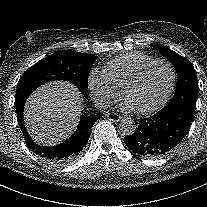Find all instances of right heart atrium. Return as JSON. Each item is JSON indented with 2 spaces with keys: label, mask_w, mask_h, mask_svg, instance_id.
Masks as SVG:
<instances>
[{
  "label": "right heart atrium",
  "mask_w": 207,
  "mask_h": 207,
  "mask_svg": "<svg viewBox=\"0 0 207 207\" xmlns=\"http://www.w3.org/2000/svg\"><path fill=\"white\" fill-rule=\"evenodd\" d=\"M87 87L94 102L104 108L111 107L120 93L110 84L105 75L92 70L87 78Z\"/></svg>",
  "instance_id": "obj_1"
}]
</instances>
